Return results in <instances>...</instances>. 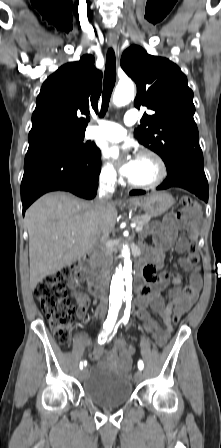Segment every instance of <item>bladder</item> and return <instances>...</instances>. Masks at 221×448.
Wrapping results in <instances>:
<instances>
[{"mask_svg": "<svg viewBox=\"0 0 221 448\" xmlns=\"http://www.w3.org/2000/svg\"><path fill=\"white\" fill-rule=\"evenodd\" d=\"M84 395L103 407H118L128 402L133 393L130 378L105 363L94 365L82 379Z\"/></svg>", "mask_w": 221, "mask_h": 448, "instance_id": "1", "label": "bladder"}]
</instances>
